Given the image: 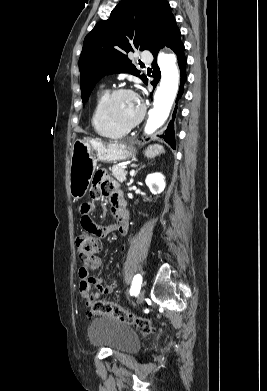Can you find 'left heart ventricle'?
I'll use <instances>...</instances> for the list:
<instances>
[{
  "label": "left heart ventricle",
  "mask_w": 267,
  "mask_h": 391,
  "mask_svg": "<svg viewBox=\"0 0 267 391\" xmlns=\"http://www.w3.org/2000/svg\"><path fill=\"white\" fill-rule=\"evenodd\" d=\"M140 112L138 99L132 94H121L113 103V114L115 118L123 123L128 124L135 120Z\"/></svg>",
  "instance_id": "1"
}]
</instances>
